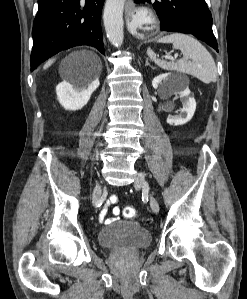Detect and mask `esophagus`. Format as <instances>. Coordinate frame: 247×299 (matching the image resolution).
<instances>
[{
	"label": "esophagus",
	"instance_id": "34e87169",
	"mask_svg": "<svg viewBox=\"0 0 247 299\" xmlns=\"http://www.w3.org/2000/svg\"><path fill=\"white\" fill-rule=\"evenodd\" d=\"M133 7V1L132 0H127L126 2V9H131Z\"/></svg>",
	"mask_w": 247,
	"mask_h": 299
}]
</instances>
